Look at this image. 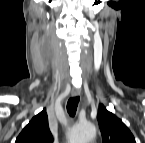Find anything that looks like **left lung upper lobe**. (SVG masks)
I'll return each instance as SVG.
<instances>
[{"label": "left lung upper lobe", "instance_id": "5c2ea615", "mask_svg": "<svg viewBox=\"0 0 145 143\" xmlns=\"http://www.w3.org/2000/svg\"><path fill=\"white\" fill-rule=\"evenodd\" d=\"M98 123L103 143H136L135 138L126 125L113 113L99 105Z\"/></svg>", "mask_w": 145, "mask_h": 143}]
</instances>
